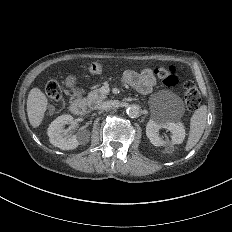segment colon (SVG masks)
Returning a JSON list of instances; mask_svg holds the SVG:
<instances>
[{"mask_svg": "<svg viewBox=\"0 0 232 232\" xmlns=\"http://www.w3.org/2000/svg\"><path fill=\"white\" fill-rule=\"evenodd\" d=\"M153 71L162 85L174 87L178 83V86H184V91H189V94H180V99H186L188 102L187 111H196L197 107H202L200 97H194V94H200V91H203V86H191V81H178V78L174 74H170L162 62H157L153 66ZM85 72L88 76H101V66L97 62H92L90 65H86ZM57 86L58 81H45V84H42L44 93L48 94L49 97L45 99L46 103H59L62 92L61 88ZM44 113L55 114L56 110L45 109Z\"/></svg>", "mask_w": 232, "mask_h": 232, "instance_id": "colon-1", "label": "colon"}]
</instances>
